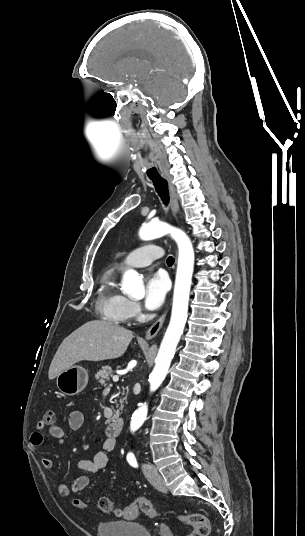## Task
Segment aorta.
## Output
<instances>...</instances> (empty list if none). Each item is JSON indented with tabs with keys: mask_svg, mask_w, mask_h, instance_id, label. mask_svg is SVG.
<instances>
[{
	"mask_svg": "<svg viewBox=\"0 0 305 536\" xmlns=\"http://www.w3.org/2000/svg\"><path fill=\"white\" fill-rule=\"evenodd\" d=\"M166 234L175 240L178 246V265L173 294L172 313L169 326L160 345L155 367L150 374V392L157 390L164 381L177 344L187 320L190 288L194 269V249L190 238L181 229L173 227L165 222L152 221L143 225L139 230L142 240H152ZM122 290L125 294L141 298L145 294L144 284L139 274L132 269L127 270L122 278ZM148 406L142 403L134 412L131 419L132 429H138L146 420Z\"/></svg>",
	"mask_w": 305,
	"mask_h": 536,
	"instance_id": "aorta-1",
	"label": "aorta"
}]
</instances>
